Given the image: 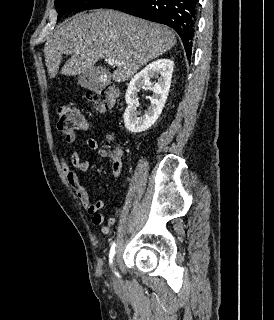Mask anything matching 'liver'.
Here are the masks:
<instances>
[{"label": "liver", "mask_w": 274, "mask_h": 320, "mask_svg": "<svg viewBox=\"0 0 274 320\" xmlns=\"http://www.w3.org/2000/svg\"><path fill=\"white\" fill-rule=\"evenodd\" d=\"M175 44V34L167 26L116 10H93L90 14L80 12L57 26L43 52L49 78L58 74L65 54L71 56L61 70L65 76L92 70L99 58H115L123 64L108 78L126 82Z\"/></svg>", "instance_id": "1"}]
</instances>
